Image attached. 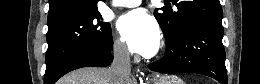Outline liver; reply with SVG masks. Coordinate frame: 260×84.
Masks as SVG:
<instances>
[{
    "label": "liver",
    "instance_id": "1",
    "mask_svg": "<svg viewBox=\"0 0 260 84\" xmlns=\"http://www.w3.org/2000/svg\"><path fill=\"white\" fill-rule=\"evenodd\" d=\"M58 84H116L110 68L86 67L65 75ZM125 84H133L130 79Z\"/></svg>",
    "mask_w": 260,
    "mask_h": 84
}]
</instances>
